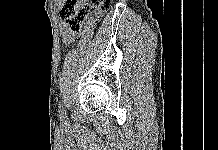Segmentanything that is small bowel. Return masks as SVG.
Returning a JSON list of instances; mask_svg holds the SVG:
<instances>
[{
    "mask_svg": "<svg viewBox=\"0 0 218 150\" xmlns=\"http://www.w3.org/2000/svg\"><path fill=\"white\" fill-rule=\"evenodd\" d=\"M60 35L62 42L65 45L72 43L75 39V34L71 32V30L65 22L60 23Z\"/></svg>",
    "mask_w": 218,
    "mask_h": 150,
    "instance_id": "obj_1",
    "label": "small bowel"
}]
</instances>
